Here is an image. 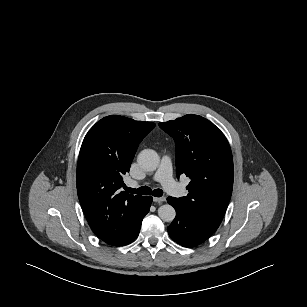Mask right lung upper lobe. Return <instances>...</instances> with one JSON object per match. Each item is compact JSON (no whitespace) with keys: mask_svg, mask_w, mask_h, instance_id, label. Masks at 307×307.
<instances>
[{"mask_svg":"<svg viewBox=\"0 0 307 307\" xmlns=\"http://www.w3.org/2000/svg\"><path fill=\"white\" fill-rule=\"evenodd\" d=\"M154 127L152 122L111 115L98 121L83 140L78 198L93 232L111 245L128 243L145 213L146 196L120 189L139 143Z\"/></svg>","mask_w":307,"mask_h":307,"instance_id":"obj_1","label":"right lung upper lobe"}]
</instances>
